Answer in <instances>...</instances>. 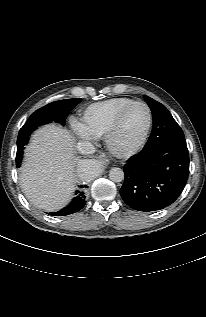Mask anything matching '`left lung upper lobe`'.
Masks as SVG:
<instances>
[{"mask_svg":"<svg viewBox=\"0 0 206 317\" xmlns=\"http://www.w3.org/2000/svg\"><path fill=\"white\" fill-rule=\"evenodd\" d=\"M144 99L153 114V129L144 148L167 142L186 144L180 126L166 107L146 95Z\"/></svg>","mask_w":206,"mask_h":317,"instance_id":"left-lung-upper-lobe-1","label":"left lung upper lobe"}]
</instances>
